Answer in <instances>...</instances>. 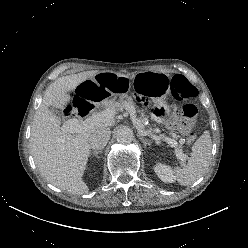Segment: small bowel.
<instances>
[{
    "label": "small bowel",
    "mask_w": 248,
    "mask_h": 248,
    "mask_svg": "<svg viewBox=\"0 0 248 248\" xmlns=\"http://www.w3.org/2000/svg\"><path fill=\"white\" fill-rule=\"evenodd\" d=\"M172 126L175 127V128H178L183 133H186V131L192 127V123H184V124H182V123H180L178 121H175V122L172 123Z\"/></svg>",
    "instance_id": "c3829d8e"
}]
</instances>
